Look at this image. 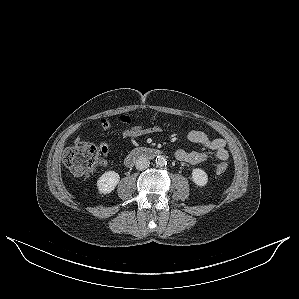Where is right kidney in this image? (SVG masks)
Listing matches in <instances>:
<instances>
[{
    "instance_id": "right-kidney-1",
    "label": "right kidney",
    "mask_w": 299,
    "mask_h": 299,
    "mask_svg": "<svg viewBox=\"0 0 299 299\" xmlns=\"http://www.w3.org/2000/svg\"><path fill=\"white\" fill-rule=\"evenodd\" d=\"M120 176L114 171L102 174L97 180V187L100 193L108 194L112 192L119 183Z\"/></svg>"
}]
</instances>
